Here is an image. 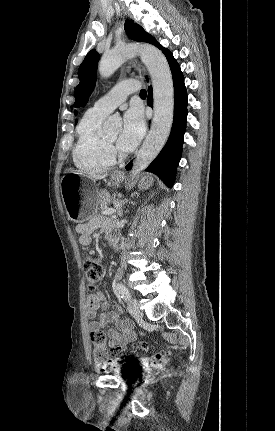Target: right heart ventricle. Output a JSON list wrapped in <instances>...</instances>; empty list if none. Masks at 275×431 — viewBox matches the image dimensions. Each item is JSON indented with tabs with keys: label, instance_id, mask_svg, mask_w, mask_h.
Returning <instances> with one entry per match:
<instances>
[{
	"label": "right heart ventricle",
	"instance_id": "1",
	"mask_svg": "<svg viewBox=\"0 0 275 431\" xmlns=\"http://www.w3.org/2000/svg\"><path fill=\"white\" fill-rule=\"evenodd\" d=\"M107 114L89 109L77 127V142L73 151L75 165L84 171L102 172L114 164L108 153L102 123Z\"/></svg>",
	"mask_w": 275,
	"mask_h": 431
}]
</instances>
